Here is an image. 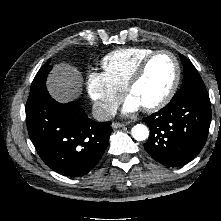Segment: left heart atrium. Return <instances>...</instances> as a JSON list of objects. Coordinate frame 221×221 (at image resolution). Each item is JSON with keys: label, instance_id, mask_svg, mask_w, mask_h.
<instances>
[{"label": "left heart atrium", "instance_id": "39dd6f15", "mask_svg": "<svg viewBox=\"0 0 221 221\" xmlns=\"http://www.w3.org/2000/svg\"><path fill=\"white\" fill-rule=\"evenodd\" d=\"M141 107L140 103L132 96H128L123 105V112L129 114Z\"/></svg>", "mask_w": 221, "mask_h": 221}]
</instances>
